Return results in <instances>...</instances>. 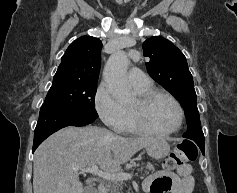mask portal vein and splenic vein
<instances>
[{
	"mask_svg": "<svg viewBox=\"0 0 237 193\" xmlns=\"http://www.w3.org/2000/svg\"><path fill=\"white\" fill-rule=\"evenodd\" d=\"M75 170H80V172H89L92 173L96 176H99L101 178L104 179H108L111 181H123V180H130L132 178V174L131 173H126V172H122V173H112V172H106V171H102L99 170L97 165H93L92 167H88V168H75Z\"/></svg>",
	"mask_w": 237,
	"mask_h": 193,
	"instance_id": "obj_1",
	"label": "portal vein and splenic vein"
}]
</instances>
